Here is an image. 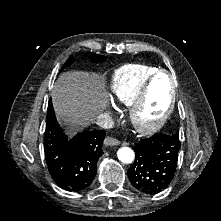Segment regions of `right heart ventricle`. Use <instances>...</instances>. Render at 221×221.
I'll list each match as a JSON object with an SVG mask.
<instances>
[{
    "label": "right heart ventricle",
    "mask_w": 221,
    "mask_h": 221,
    "mask_svg": "<svg viewBox=\"0 0 221 221\" xmlns=\"http://www.w3.org/2000/svg\"><path fill=\"white\" fill-rule=\"evenodd\" d=\"M158 70L144 64H127L116 69L112 76L111 91L116 100L125 106H130L140 88Z\"/></svg>",
    "instance_id": "1"
}]
</instances>
